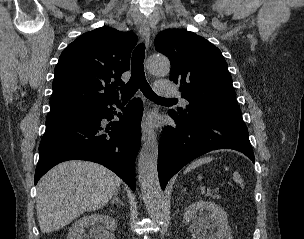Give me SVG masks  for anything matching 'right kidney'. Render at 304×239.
Returning a JSON list of instances; mask_svg holds the SVG:
<instances>
[{"label":"right kidney","instance_id":"right-kidney-1","mask_svg":"<svg viewBox=\"0 0 304 239\" xmlns=\"http://www.w3.org/2000/svg\"><path fill=\"white\" fill-rule=\"evenodd\" d=\"M91 226L90 235L85 234L84 228ZM117 227L115 219L104 214H91L83 216L70 228L67 239H107L109 231Z\"/></svg>","mask_w":304,"mask_h":239}]
</instances>
